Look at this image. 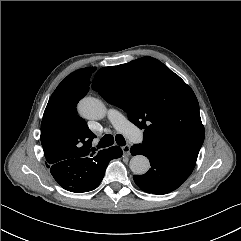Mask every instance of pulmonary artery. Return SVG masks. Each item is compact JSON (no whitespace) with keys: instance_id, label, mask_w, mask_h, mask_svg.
<instances>
[{"instance_id":"obj_1","label":"pulmonary artery","mask_w":241,"mask_h":241,"mask_svg":"<svg viewBox=\"0 0 241 241\" xmlns=\"http://www.w3.org/2000/svg\"><path fill=\"white\" fill-rule=\"evenodd\" d=\"M108 117L115 128L135 142L141 141L138 129L132 125L121 113L115 109L108 110Z\"/></svg>"}]
</instances>
